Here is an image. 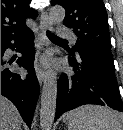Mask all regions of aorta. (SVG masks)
Listing matches in <instances>:
<instances>
[{"instance_id": "762f6f07", "label": "aorta", "mask_w": 123, "mask_h": 130, "mask_svg": "<svg viewBox=\"0 0 123 130\" xmlns=\"http://www.w3.org/2000/svg\"><path fill=\"white\" fill-rule=\"evenodd\" d=\"M65 18L62 6H53L49 11V20L58 25ZM57 73L54 69L46 71L41 92L40 126L42 130H51L56 111Z\"/></svg>"}]
</instances>
